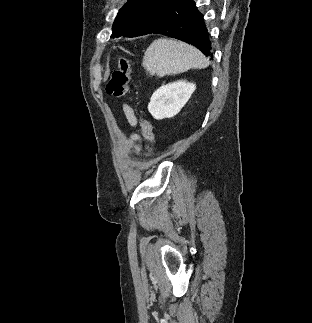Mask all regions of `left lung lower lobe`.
I'll list each match as a JSON object with an SVG mask.
<instances>
[{"label":"left lung lower lobe","instance_id":"obj_1","mask_svg":"<svg viewBox=\"0 0 312 323\" xmlns=\"http://www.w3.org/2000/svg\"><path fill=\"white\" fill-rule=\"evenodd\" d=\"M150 33L185 41L196 46L206 56L213 57L207 26L193 0H173L170 12L154 24L147 34Z\"/></svg>","mask_w":312,"mask_h":323}]
</instances>
